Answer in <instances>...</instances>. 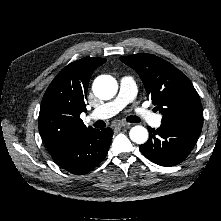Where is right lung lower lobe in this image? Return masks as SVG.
Returning a JSON list of instances; mask_svg holds the SVG:
<instances>
[{
	"instance_id": "right-lung-lower-lobe-1",
	"label": "right lung lower lobe",
	"mask_w": 221,
	"mask_h": 221,
	"mask_svg": "<svg viewBox=\"0 0 221 221\" xmlns=\"http://www.w3.org/2000/svg\"><path fill=\"white\" fill-rule=\"evenodd\" d=\"M113 131L111 128L93 129L69 147L53 156L63 169L85 174L95 168L107 155Z\"/></svg>"
}]
</instances>
